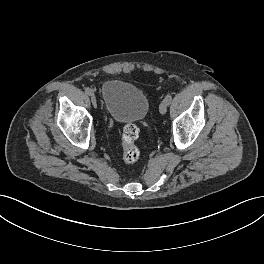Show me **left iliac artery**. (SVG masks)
<instances>
[{
    "instance_id": "left-iliac-artery-1",
    "label": "left iliac artery",
    "mask_w": 264,
    "mask_h": 264,
    "mask_svg": "<svg viewBox=\"0 0 264 264\" xmlns=\"http://www.w3.org/2000/svg\"><path fill=\"white\" fill-rule=\"evenodd\" d=\"M167 103H168V105L171 103V100H172V95L171 94H168L166 97H165V99H164Z\"/></svg>"
}]
</instances>
